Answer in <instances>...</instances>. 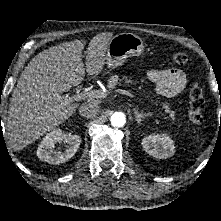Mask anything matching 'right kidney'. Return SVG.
<instances>
[{
	"label": "right kidney",
	"instance_id": "right-kidney-1",
	"mask_svg": "<svg viewBox=\"0 0 221 221\" xmlns=\"http://www.w3.org/2000/svg\"><path fill=\"white\" fill-rule=\"evenodd\" d=\"M61 142L65 144V147L56 150L55 145ZM80 143L81 138L78 135L65 134L60 129H56L43 138L38 147L37 156L40 160L57 165L73 157Z\"/></svg>",
	"mask_w": 221,
	"mask_h": 221
}]
</instances>
